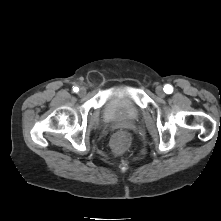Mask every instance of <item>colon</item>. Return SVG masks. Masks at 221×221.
Here are the masks:
<instances>
[{
  "instance_id": "colon-1",
  "label": "colon",
  "mask_w": 221,
  "mask_h": 221,
  "mask_svg": "<svg viewBox=\"0 0 221 221\" xmlns=\"http://www.w3.org/2000/svg\"><path fill=\"white\" fill-rule=\"evenodd\" d=\"M130 143L129 134L125 131L116 132L111 140V146L115 153L125 151Z\"/></svg>"
}]
</instances>
